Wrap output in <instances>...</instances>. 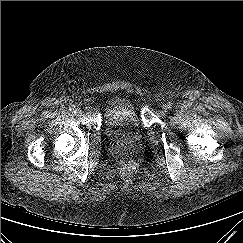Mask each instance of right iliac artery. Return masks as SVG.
<instances>
[{"mask_svg": "<svg viewBox=\"0 0 243 243\" xmlns=\"http://www.w3.org/2000/svg\"><path fill=\"white\" fill-rule=\"evenodd\" d=\"M76 110H77V109H75V107H72V108L70 109V111H71L72 113H76Z\"/></svg>", "mask_w": 243, "mask_h": 243, "instance_id": "obj_1", "label": "right iliac artery"}]
</instances>
